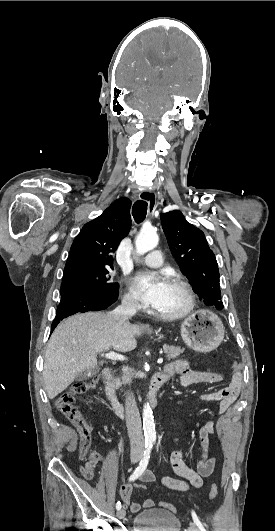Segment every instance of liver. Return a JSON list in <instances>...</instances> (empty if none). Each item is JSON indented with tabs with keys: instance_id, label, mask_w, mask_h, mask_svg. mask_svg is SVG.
I'll return each instance as SVG.
<instances>
[{
	"instance_id": "liver-1",
	"label": "liver",
	"mask_w": 275,
	"mask_h": 531,
	"mask_svg": "<svg viewBox=\"0 0 275 531\" xmlns=\"http://www.w3.org/2000/svg\"><path fill=\"white\" fill-rule=\"evenodd\" d=\"M143 327L119 323L104 313H77L56 327L45 353L43 379L49 399L65 391L79 373L95 369L98 353L136 349Z\"/></svg>"
}]
</instances>
